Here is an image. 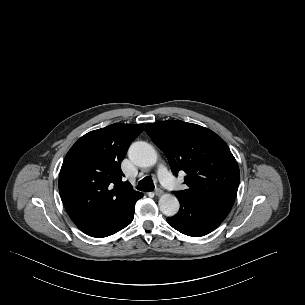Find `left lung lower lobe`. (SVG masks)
<instances>
[{
	"mask_svg": "<svg viewBox=\"0 0 305 305\" xmlns=\"http://www.w3.org/2000/svg\"><path fill=\"white\" fill-rule=\"evenodd\" d=\"M179 212L167 222L177 231L193 237L206 235L216 229L230 212L234 201L227 198L190 200L177 197Z\"/></svg>",
	"mask_w": 305,
	"mask_h": 305,
	"instance_id": "obj_1",
	"label": "left lung lower lobe"
}]
</instances>
